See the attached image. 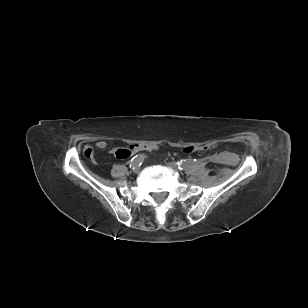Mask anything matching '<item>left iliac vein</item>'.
<instances>
[{"label": "left iliac vein", "mask_w": 308, "mask_h": 308, "mask_svg": "<svg viewBox=\"0 0 308 308\" xmlns=\"http://www.w3.org/2000/svg\"><path fill=\"white\" fill-rule=\"evenodd\" d=\"M167 166L171 169H178V166L172 162L167 163Z\"/></svg>", "instance_id": "1"}]
</instances>
